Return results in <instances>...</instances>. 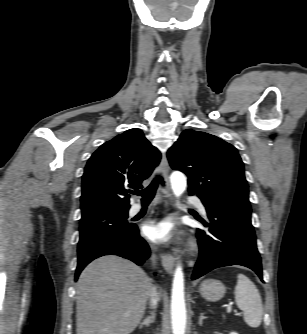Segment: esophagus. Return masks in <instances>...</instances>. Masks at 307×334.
I'll use <instances>...</instances> for the list:
<instances>
[{"label": "esophagus", "mask_w": 307, "mask_h": 334, "mask_svg": "<svg viewBox=\"0 0 307 334\" xmlns=\"http://www.w3.org/2000/svg\"><path fill=\"white\" fill-rule=\"evenodd\" d=\"M169 169L170 168H169V163H168L166 154H163L162 159H161L160 170L164 177L166 188L162 189L161 192L163 194V197L166 199V203H168L171 199V194H170V189H169ZM161 262H162L164 269L168 273L173 272L175 259L172 254L163 253L161 255Z\"/></svg>", "instance_id": "obj_1"}]
</instances>
